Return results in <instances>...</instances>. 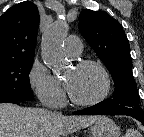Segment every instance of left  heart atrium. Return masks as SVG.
Segmentation results:
<instances>
[{
	"label": "left heart atrium",
	"mask_w": 144,
	"mask_h": 137,
	"mask_svg": "<svg viewBox=\"0 0 144 137\" xmlns=\"http://www.w3.org/2000/svg\"><path fill=\"white\" fill-rule=\"evenodd\" d=\"M67 89L69 90V86H68V84H67Z\"/></svg>",
	"instance_id": "left-heart-atrium-1"
}]
</instances>
